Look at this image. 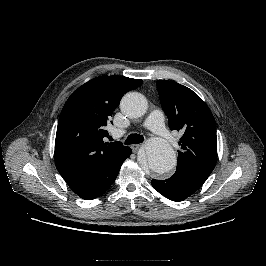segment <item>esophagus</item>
I'll list each match as a JSON object with an SVG mask.
<instances>
[{"label": "esophagus", "instance_id": "esophagus-1", "mask_svg": "<svg viewBox=\"0 0 266 266\" xmlns=\"http://www.w3.org/2000/svg\"><path fill=\"white\" fill-rule=\"evenodd\" d=\"M140 147H141V144H133V145H131V149H132L133 152H137Z\"/></svg>", "mask_w": 266, "mask_h": 266}]
</instances>
